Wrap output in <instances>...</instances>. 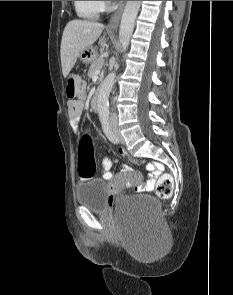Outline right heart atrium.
I'll return each instance as SVG.
<instances>
[{
	"label": "right heart atrium",
	"instance_id": "right-heart-atrium-1",
	"mask_svg": "<svg viewBox=\"0 0 233 295\" xmlns=\"http://www.w3.org/2000/svg\"><path fill=\"white\" fill-rule=\"evenodd\" d=\"M101 3H102V5H103L104 1H101Z\"/></svg>",
	"mask_w": 233,
	"mask_h": 295
}]
</instances>
